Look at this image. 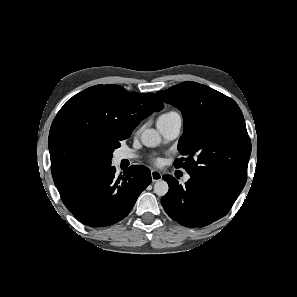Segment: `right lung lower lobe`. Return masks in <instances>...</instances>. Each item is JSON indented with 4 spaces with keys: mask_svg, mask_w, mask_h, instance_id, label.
I'll list each match as a JSON object with an SVG mask.
<instances>
[{
    "mask_svg": "<svg viewBox=\"0 0 297 297\" xmlns=\"http://www.w3.org/2000/svg\"><path fill=\"white\" fill-rule=\"evenodd\" d=\"M115 173V167L110 166L63 201L80 222L91 227L115 224L128 215L140 193L151 183L150 170L142 165H132L124 176L117 177Z\"/></svg>",
    "mask_w": 297,
    "mask_h": 297,
    "instance_id": "obj_1",
    "label": "right lung lower lobe"
}]
</instances>
